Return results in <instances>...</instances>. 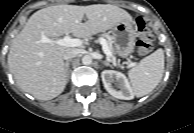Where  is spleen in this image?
Instances as JSON below:
<instances>
[{
	"mask_svg": "<svg viewBox=\"0 0 194 133\" xmlns=\"http://www.w3.org/2000/svg\"><path fill=\"white\" fill-rule=\"evenodd\" d=\"M164 72V52L161 48L143 58L129 70L128 77L137 97L150 93L160 83Z\"/></svg>",
	"mask_w": 194,
	"mask_h": 133,
	"instance_id": "3e777b00",
	"label": "spleen"
}]
</instances>
